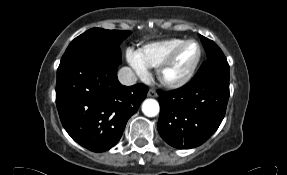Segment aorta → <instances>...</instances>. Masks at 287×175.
Instances as JSON below:
<instances>
[{"label": "aorta", "mask_w": 287, "mask_h": 175, "mask_svg": "<svg viewBox=\"0 0 287 175\" xmlns=\"http://www.w3.org/2000/svg\"><path fill=\"white\" fill-rule=\"evenodd\" d=\"M159 111V103L155 99H146L142 104V112L147 117H155Z\"/></svg>", "instance_id": "1"}]
</instances>
